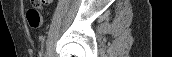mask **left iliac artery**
<instances>
[{"mask_svg": "<svg viewBox=\"0 0 172 57\" xmlns=\"http://www.w3.org/2000/svg\"><path fill=\"white\" fill-rule=\"evenodd\" d=\"M39 55H40V57H42V55H43V47H42V50L40 51Z\"/></svg>", "mask_w": 172, "mask_h": 57, "instance_id": "44dca946", "label": "left iliac artery"}]
</instances>
